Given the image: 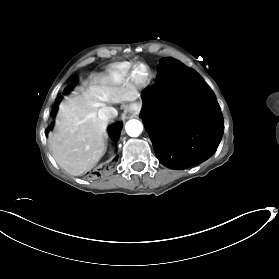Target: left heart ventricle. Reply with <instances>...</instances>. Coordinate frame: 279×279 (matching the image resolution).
I'll return each instance as SVG.
<instances>
[{
	"instance_id": "1",
	"label": "left heart ventricle",
	"mask_w": 279,
	"mask_h": 279,
	"mask_svg": "<svg viewBox=\"0 0 279 279\" xmlns=\"http://www.w3.org/2000/svg\"><path fill=\"white\" fill-rule=\"evenodd\" d=\"M137 73L139 75H144L146 73V69L144 67H139Z\"/></svg>"
}]
</instances>
